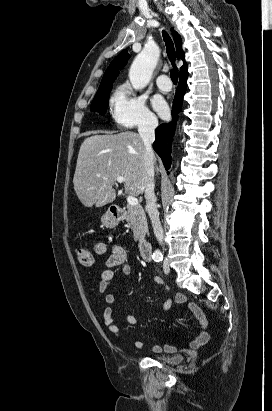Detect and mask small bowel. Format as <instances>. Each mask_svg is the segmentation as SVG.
<instances>
[{
  "mask_svg": "<svg viewBox=\"0 0 272 411\" xmlns=\"http://www.w3.org/2000/svg\"><path fill=\"white\" fill-rule=\"evenodd\" d=\"M95 252L99 255L110 253L106 261V269L101 275L99 292L104 295V299L107 304V306L103 310V322L110 333L118 335L120 334V328L115 324L113 318V310L114 307L117 306V301L113 294L107 292V289L109 285L114 282L118 275L127 277L131 274L132 263L128 259L127 250L119 244L98 241L95 244ZM153 280L158 284L163 283V281L159 277H155ZM174 299L176 302L181 304L187 303L186 298L178 293L174 294ZM172 302L173 300L171 297L166 299L162 304L163 311L169 310L172 306ZM187 307L194 313L201 326L199 335L194 340H192L189 345V350L195 351L209 341V334L207 332L208 322L204 313L196 304L189 303L187 304ZM125 319L130 325H138L140 323V320L133 314H127L125 316ZM135 345L138 349H143L145 347V342L143 340H137ZM152 350L156 353L162 351L166 353L176 352V348L169 344H164L162 346L155 344L152 346Z\"/></svg>",
  "mask_w": 272,
  "mask_h": 411,
  "instance_id": "small-bowel-1",
  "label": "small bowel"
}]
</instances>
